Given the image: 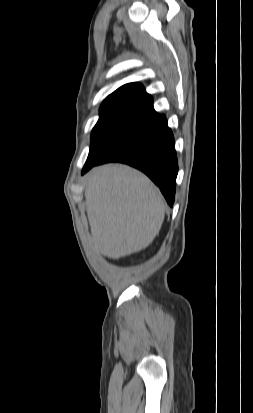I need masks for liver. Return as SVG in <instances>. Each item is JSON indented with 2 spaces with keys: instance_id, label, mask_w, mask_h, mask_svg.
<instances>
[{
  "instance_id": "1",
  "label": "liver",
  "mask_w": 253,
  "mask_h": 413,
  "mask_svg": "<svg viewBox=\"0 0 253 413\" xmlns=\"http://www.w3.org/2000/svg\"><path fill=\"white\" fill-rule=\"evenodd\" d=\"M85 205L93 247L112 259L148 247L165 217L159 189L143 173L123 164L90 172Z\"/></svg>"
}]
</instances>
